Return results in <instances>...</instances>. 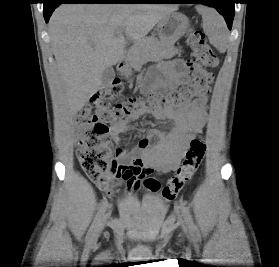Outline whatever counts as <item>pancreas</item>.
<instances>
[{"instance_id":"1","label":"pancreas","mask_w":279,"mask_h":267,"mask_svg":"<svg viewBox=\"0 0 279 267\" xmlns=\"http://www.w3.org/2000/svg\"><path fill=\"white\" fill-rule=\"evenodd\" d=\"M177 53L178 49L162 46L157 38L147 37L135 43L129 50L130 64L133 68L139 69L148 61L171 58Z\"/></svg>"}]
</instances>
